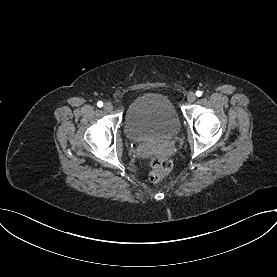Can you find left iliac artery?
Instances as JSON below:
<instances>
[{"label":"left iliac artery","mask_w":277,"mask_h":277,"mask_svg":"<svg viewBox=\"0 0 277 277\" xmlns=\"http://www.w3.org/2000/svg\"><path fill=\"white\" fill-rule=\"evenodd\" d=\"M196 95H197L198 97H200V96L202 95V92H201V91H197V92H196Z\"/></svg>","instance_id":"1"}]
</instances>
